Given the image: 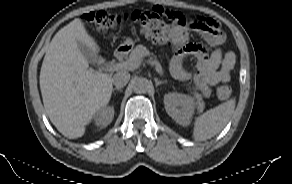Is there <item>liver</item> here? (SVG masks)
I'll list each match as a JSON object with an SVG mask.
<instances>
[{"label":"liver","mask_w":292,"mask_h":184,"mask_svg":"<svg viewBox=\"0 0 292 184\" xmlns=\"http://www.w3.org/2000/svg\"><path fill=\"white\" fill-rule=\"evenodd\" d=\"M78 42L95 55L99 46L76 18L53 37L40 71V90L50 121L65 137H82L85 126L110 101L112 75L88 69Z\"/></svg>","instance_id":"obj_1"}]
</instances>
